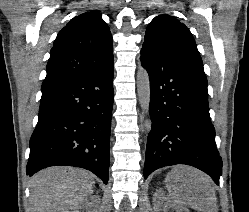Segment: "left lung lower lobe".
<instances>
[{
    "label": "left lung lower lobe",
    "mask_w": 249,
    "mask_h": 212,
    "mask_svg": "<svg viewBox=\"0 0 249 212\" xmlns=\"http://www.w3.org/2000/svg\"><path fill=\"white\" fill-rule=\"evenodd\" d=\"M140 60L150 78L152 122L144 177L164 166L187 164L218 184L222 160L209 116L204 72L155 54L141 53Z\"/></svg>",
    "instance_id": "0a47b994"
}]
</instances>
